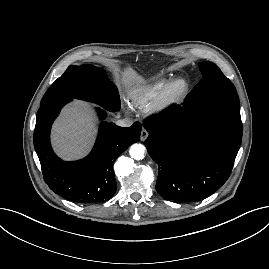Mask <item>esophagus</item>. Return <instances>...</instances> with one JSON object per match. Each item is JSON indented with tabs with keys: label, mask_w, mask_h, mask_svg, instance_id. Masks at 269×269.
Masks as SVG:
<instances>
[{
	"label": "esophagus",
	"mask_w": 269,
	"mask_h": 269,
	"mask_svg": "<svg viewBox=\"0 0 269 269\" xmlns=\"http://www.w3.org/2000/svg\"><path fill=\"white\" fill-rule=\"evenodd\" d=\"M147 137H148V132L146 129L143 128L141 131V134H140L141 141H145L147 139Z\"/></svg>",
	"instance_id": "esophagus-1"
}]
</instances>
